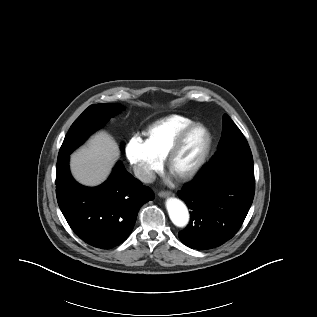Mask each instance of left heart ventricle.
Listing matches in <instances>:
<instances>
[{
  "label": "left heart ventricle",
  "instance_id": "1",
  "mask_svg": "<svg viewBox=\"0 0 317 317\" xmlns=\"http://www.w3.org/2000/svg\"><path fill=\"white\" fill-rule=\"evenodd\" d=\"M205 144V135L202 130L192 131L186 138L178 155L172 164V171L176 174L189 170L198 160Z\"/></svg>",
  "mask_w": 317,
  "mask_h": 317
}]
</instances>
